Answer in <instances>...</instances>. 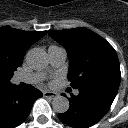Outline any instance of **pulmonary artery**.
I'll return each instance as SVG.
<instances>
[{"label":"pulmonary artery","instance_id":"pulmonary-artery-1","mask_svg":"<svg viewBox=\"0 0 128 128\" xmlns=\"http://www.w3.org/2000/svg\"><path fill=\"white\" fill-rule=\"evenodd\" d=\"M48 55L50 63L53 67H60L66 60L67 52L64 48L51 46L48 49ZM43 79L42 74H27V75H17L14 78L16 83L25 82V83H37ZM75 95L79 94L78 90L74 91Z\"/></svg>","mask_w":128,"mask_h":128}]
</instances>
